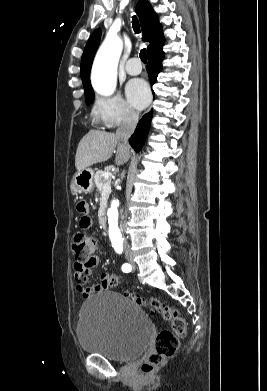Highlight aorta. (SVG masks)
Here are the masks:
<instances>
[{
	"instance_id": "obj_1",
	"label": "aorta",
	"mask_w": 267,
	"mask_h": 391,
	"mask_svg": "<svg viewBox=\"0 0 267 391\" xmlns=\"http://www.w3.org/2000/svg\"><path fill=\"white\" fill-rule=\"evenodd\" d=\"M122 49V39L115 34H108L95 56L91 81L94 90L102 96H111L116 90L117 66ZM118 205V200H114L108 211L109 236L116 248H120L121 242Z\"/></svg>"
}]
</instances>
